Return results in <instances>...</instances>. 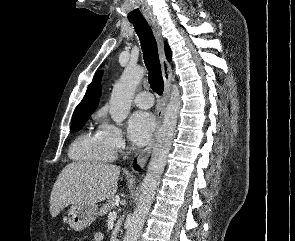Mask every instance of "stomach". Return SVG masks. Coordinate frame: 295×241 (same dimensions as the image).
Listing matches in <instances>:
<instances>
[{
  "instance_id": "obj_1",
  "label": "stomach",
  "mask_w": 295,
  "mask_h": 241,
  "mask_svg": "<svg viewBox=\"0 0 295 241\" xmlns=\"http://www.w3.org/2000/svg\"><path fill=\"white\" fill-rule=\"evenodd\" d=\"M97 205L75 204L67 212V222L74 231H82L97 218Z\"/></svg>"
}]
</instances>
